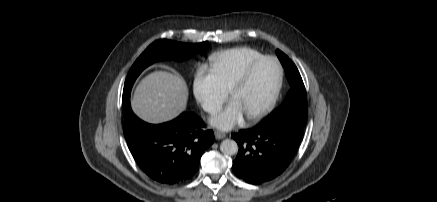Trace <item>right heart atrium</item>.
<instances>
[{
    "label": "right heart atrium",
    "instance_id": "1",
    "mask_svg": "<svg viewBox=\"0 0 437 202\" xmlns=\"http://www.w3.org/2000/svg\"><path fill=\"white\" fill-rule=\"evenodd\" d=\"M192 92L200 107L209 114L217 112L228 95L213 71L202 65L195 70Z\"/></svg>",
    "mask_w": 437,
    "mask_h": 202
}]
</instances>
